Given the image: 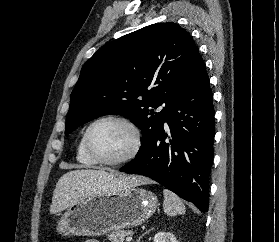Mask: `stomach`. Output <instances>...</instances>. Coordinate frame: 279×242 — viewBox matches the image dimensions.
<instances>
[{
  "label": "stomach",
  "mask_w": 279,
  "mask_h": 242,
  "mask_svg": "<svg viewBox=\"0 0 279 242\" xmlns=\"http://www.w3.org/2000/svg\"><path fill=\"white\" fill-rule=\"evenodd\" d=\"M157 197L151 191L129 187L82 198L57 221L61 236H101L111 231L136 227L156 210Z\"/></svg>",
  "instance_id": "0dacf381"
}]
</instances>
